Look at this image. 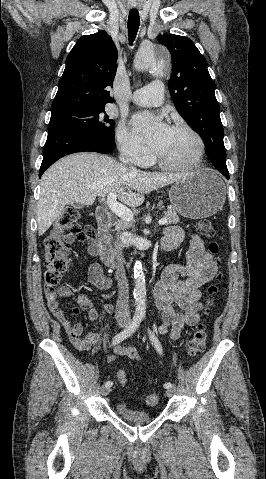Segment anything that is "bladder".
<instances>
[{
  "label": "bladder",
  "mask_w": 266,
  "mask_h": 479,
  "mask_svg": "<svg viewBox=\"0 0 266 479\" xmlns=\"http://www.w3.org/2000/svg\"><path fill=\"white\" fill-rule=\"evenodd\" d=\"M116 409L120 418L132 423L148 422L153 417L151 413L133 409L126 403H118Z\"/></svg>",
  "instance_id": "obj_1"
}]
</instances>
